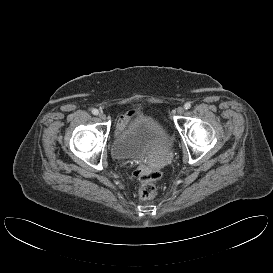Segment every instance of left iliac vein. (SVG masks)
<instances>
[{
  "label": "left iliac vein",
  "instance_id": "1",
  "mask_svg": "<svg viewBox=\"0 0 273 273\" xmlns=\"http://www.w3.org/2000/svg\"><path fill=\"white\" fill-rule=\"evenodd\" d=\"M184 111H185L184 107H179V108L177 109V113H178L179 115H182V114L184 113Z\"/></svg>",
  "mask_w": 273,
  "mask_h": 273
}]
</instances>
